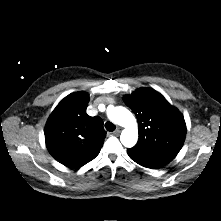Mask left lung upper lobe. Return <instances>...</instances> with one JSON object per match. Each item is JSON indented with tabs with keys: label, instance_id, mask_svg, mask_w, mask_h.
Returning a JSON list of instances; mask_svg holds the SVG:
<instances>
[{
	"label": "left lung upper lobe",
	"instance_id": "left-lung-upper-lobe-1",
	"mask_svg": "<svg viewBox=\"0 0 221 221\" xmlns=\"http://www.w3.org/2000/svg\"><path fill=\"white\" fill-rule=\"evenodd\" d=\"M124 102L139 125V140L127 150L129 156L174 159L186 136L182 114L154 89L140 88L125 96Z\"/></svg>",
	"mask_w": 221,
	"mask_h": 221
}]
</instances>
